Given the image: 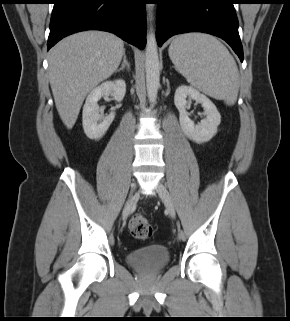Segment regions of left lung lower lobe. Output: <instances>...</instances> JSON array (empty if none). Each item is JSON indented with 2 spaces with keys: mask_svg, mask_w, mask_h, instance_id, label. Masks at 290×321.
Listing matches in <instances>:
<instances>
[{
  "mask_svg": "<svg viewBox=\"0 0 290 321\" xmlns=\"http://www.w3.org/2000/svg\"><path fill=\"white\" fill-rule=\"evenodd\" d=\"M157 9L156 38L161 46L173 35L204 32L225 40L243 61L238 33L236 0H155Z\"/></svg>",
  "mask_w": 290,
  "mask_h": 321,
  "instance_id": "1",
  "label": "left lung lower lobe"
}]
</instances>
